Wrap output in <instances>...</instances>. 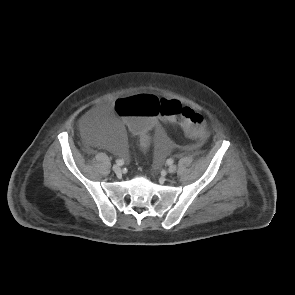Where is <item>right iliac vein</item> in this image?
<instances>
[{"instance_id": "right-iliac-vein-1", "label": "right iliac vein", "mask_w": 295, "mask_h": 295, "mask_svg": "<svg viewBox=\"0 0 295 295\" xmlns=\"http://www.w3.org/2000/svg\"><path fill=\"white\" fill-rule=\"evenodd\" d=\"M113 171L116 174H120L122 170H121V167L118 164H115V165H113Z\"/></svg>"}]
</instances>
